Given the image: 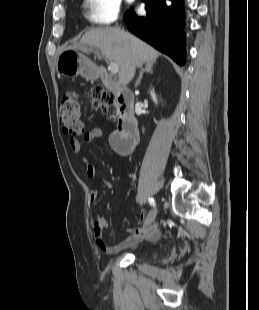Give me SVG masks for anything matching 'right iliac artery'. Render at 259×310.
<instances>
[{
	"label": "right iliac artery",
	"mask_w": 259,
	"mask_h": 310,
	"mask_svg": "<svg viewBox=\"0 0 259 310\" xmlns=\"http://www.w3.org/2000/svg\"><path fill=\"white\" fill-rule=\"evenodd\" d=\"M149 203L151 206H155V202H154V199L153 198H149Z\"/></svg>",
	"instance_id": "82829eb1"
}]
</instances>
